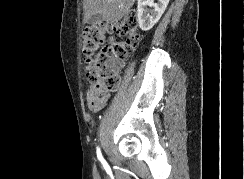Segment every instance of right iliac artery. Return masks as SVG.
<instances>
[{"instance_id":"right-iliac-artery-1","label":"right iliac artery","mask_w":244,"mask_h":179,"mask_svg":"<svg viewBox=\"0 0 244 179\" xmlns=\"http://www.w3.org/2000/svg\"><path fill=\"white\" fill-rule=\"evenodd\" d=\"M97 156H98V159L99 160H101V161H103L104 159H103V157H102V154H101V152H100V149L99 148H97Z\"/></svg>"}]
</instances>
